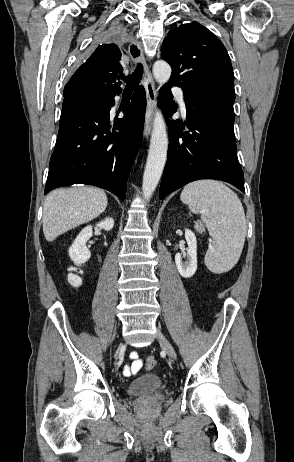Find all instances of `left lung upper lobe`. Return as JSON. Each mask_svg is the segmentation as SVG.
I'll use <instances>...</instances> for the list:
<instances>
[{
	"label": "left lung upper lobe",
	"mask_w": 294,
	"mask_h": 462,
	"mask_svg": "<svg viewBox=\"0 0 294 462\" xmlns=\"http://www.w3.org/2000/svg\"><path fill=\"white\" fill-rule=\"evenodd\" d=\"M161 56L172 67L170 83L184 94L216 90L234 97V73L222 42L197 22L185 23L169 31Z\"/></svg>",
	"instance_id": "1"
}]
</instances>
